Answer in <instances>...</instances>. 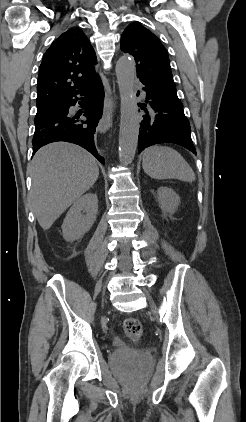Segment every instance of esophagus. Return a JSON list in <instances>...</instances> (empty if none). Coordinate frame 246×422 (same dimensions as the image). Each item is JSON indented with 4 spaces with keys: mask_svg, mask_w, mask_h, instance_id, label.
<instances>
[{
    "mask_svg": "<svg viewBox=\"0 0 246 422\" xmlns=\"http://www.w3.org/2000/svg\"><path fill=\"white\" fill-rule=\"evenodd\" d=\"M116 107L115 98H110L108 94L105 95L103 116L99 123L101 132H106L112 126V114Z\"/></svg>",
    "mask_w": 246,
    "mask_h": 422,
    "instance_id": "34e87169",
    "label": "esophagus"
}]
</instances>
